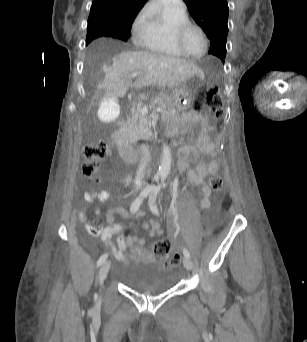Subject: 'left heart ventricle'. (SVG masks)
I'll return each mask as SVG.
<instances>
[{"instance_id":"1","label":"left heart ventricle","mask_w":307,"mask_h":342,"mask_svg":"<svg viewBox=\"0 0 307 342\" xmlns=\"http://www.w3.org/2000/svg\"><path fill=\"white\" fill-rule=\"evenodd\" d=\"M185 47L189 54L194 57H199L204 52V38L198 27L194 26L188 30L185 36Z\"/></svg>"}]
</instances>
